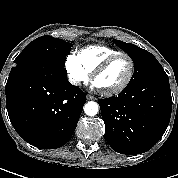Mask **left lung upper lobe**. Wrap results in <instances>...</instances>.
Instances as JSON below:
<instances>
[{"mask_svg": "<svg viewBox=\"0 0 178 178\" xmlns=\"http://www.w3.org/2000/svg\"><path fill=\"white\" fill-rule=\"evenodd\" d=\"M116 45L125 51L134 62V73L128 85L139 81L167 76L161 64L148 51L131 43L114 40Z\"/></svg>", "mask_w": 178, "mask_h": 178, "instance_id": "1", "label": "left lung upper lobe"}]
</instances>
